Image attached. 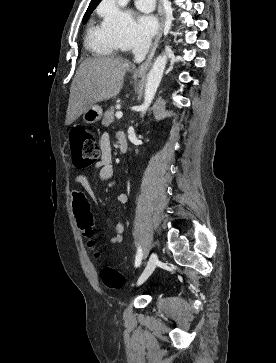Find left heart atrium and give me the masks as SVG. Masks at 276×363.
<instances>
[{
  "label": "left heart atrium",
  "instance_id": "1",
  "mask_svg": "<svg viewBox=\"0 0 276 363\" xmlns=\"http://www.w3.org/2000/svg\"><path fill=\"white\" fill-rule=\"evenodd\" d=\"M138 26L142 34L149 38L157 33L159 20L153 14H142L138 17Z\"/></svg>",
  "mask_w": 276,
  "mask_h": 363
}]
</instances>
